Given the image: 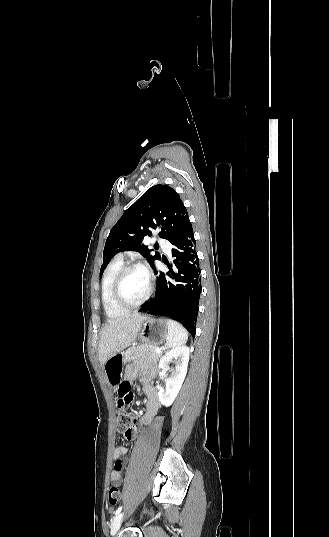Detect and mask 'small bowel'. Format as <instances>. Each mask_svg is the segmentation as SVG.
Segmentation results:
<instances>
[{"label": "small bowel", "mask_w": 329, "mask_h": 537, "mask_svg": "<svg viewBox=\"0 0 329 537\" xmlns=\"http://www.w3.org/2000/svg\"><path fill=\"white\" fill-rule=\"evenodd\" d=\"M127 377L120 379V387L117 390V408L122 410L124 406H130L134 402L136 393L131 389L133 386V377L135 376V370L129 369L126 374ZM144 380H146L144 378ZM144 393L147 396L146 412L140 421H135L131 429L124 434V438L128 441L135 440L139 427L141 424H149L152 418L155 416L159 408V398L157 390L146 384L143 388ZM127 453L126 448L118 446L114 450L113 458L115 460L114 469L111 473V481L117 485H121L123 481V469L127 463L125 455Z\"/></svg>", "instance_id": "obj_1"}]
</instances>
